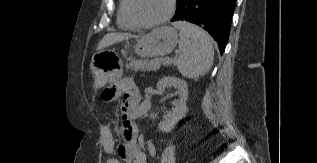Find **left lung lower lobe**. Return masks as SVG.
Here are the masks:
<instances>
[{
    "label": "left lung lower lobe",
    "mask_w": 317,
    "mask_h": 163,
    "mask_svg": "<svg viewBox=\"0 0 317 163\" xmlns=\"http://www.w3.org/2000/svg\"><path fill=\"white\" fill-rule=\"evenodd\" d=\"M236 0H178L171 21L186 20L207 30L224 52Z\"/></svg>",
    "instance_id": "1"
}]
</instances>
